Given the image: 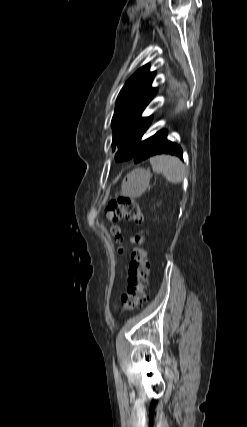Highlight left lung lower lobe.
Wrapping results in <instances>:
<instances>
[{
  "label": "left lung lower lobe",
  "mask_w": 247,
  "mask_h": 427,
  "mask_svg": "<svg viewBox=\"0 0 247 427\" xmlns=\"http://www.w3.org/2000/svg\"><path fill=\"white\" fill-rule=\"evenodd\" d=\"M159 154L176 155L183 159L181 147L167 140V130H161L148 139L141 141L133 160L135 163H139Z\"/></svg>",
  "instance_id": "obj_1"
}]
</instances>
